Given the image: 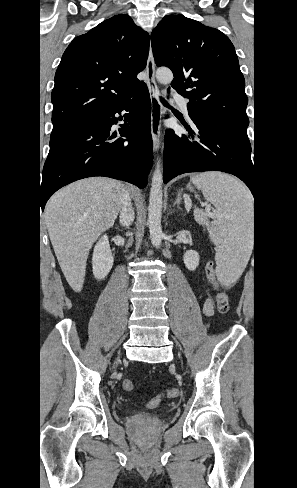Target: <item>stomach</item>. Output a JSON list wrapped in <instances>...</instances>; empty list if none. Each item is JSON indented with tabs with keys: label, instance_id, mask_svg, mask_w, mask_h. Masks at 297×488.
Returning a JSON list of instances; mask_svg holds the SVG:
<instances>
[{
	"label": "stomach",
	"instance_id": "obj_1",
	"mask_svg": "<svg viewBox=\"0 0 297 488\" xmlns=\"http://www.w3.org/2000/svg\"><path fill=\"white\" fill-rule=\"evenodd\" d=\"M190 190L192 189L190 185L187 186Z\"/></svg>",
	"mask_w": 297,
	"mask_h": 488
}]
</instances>
